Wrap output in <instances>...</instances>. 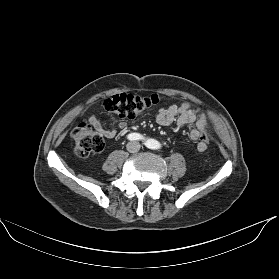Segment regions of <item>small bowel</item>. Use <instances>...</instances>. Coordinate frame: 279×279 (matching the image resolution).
Returning <instances> with one entry per match:
<instances>
[{
    "instance_id": "small-bowel-1",
    "label": "small bowel",
    "mask_w": 279,
    "mask_h": 279,
    "mask_svg": "<svg viewBox=\"0 0 279 279\" xmlns=\"http://www.w3.org/2000/svg\"><path fill=\"white\" fill-rule=\"evenodd\" d=\"M156 121L162 126L170 125L175 121L178 129L185 125H191L190 138L197 143V150L204 152L207 149V144L202 141V137L207 130V117L200 110L193 109L189 103L182 102L170 105L167 108H161L156 116ZM90 122L107 139L115 138L120 132L125 131L127 127V124L121 121L114 128L105 129L97 116H91Z\"/></svg>"
}]
</instances>
